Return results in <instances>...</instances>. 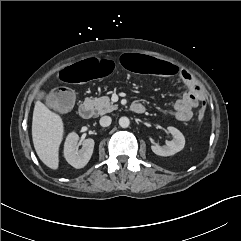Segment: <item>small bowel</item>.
<instances>
[{
	"mask_svg": "<svg viewBox=\"0 0 241 241\" xmlns=\"http://www.w3.org/2000/svg\"><path fill=\"white\" fill-rule=\"evenodd\" d=\"M178 77L188 90L174 104L175 117L180 122H187L193 116V108L204 101V90L189 71L180 69Z\"/></svg>",
	"mask_w": 241,
	"mask_h": 241,
	"instance_id": "obj_1",
	"label": "small bowel"
}]
</instances>
